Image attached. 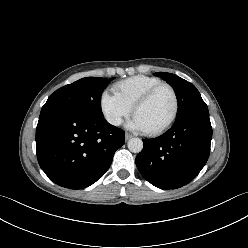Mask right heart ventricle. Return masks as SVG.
I'll return each instance as SVG.
<instances>
[{
  "label": "right heart ventricle",
  "mask_w": 248,
  "mask_h": 248,
  "mask_svg": "<svg viewBox=\"0 0 248 248\" xmlns=\"http://www.w3.org/2000/svg\"><path fill=\"white\" fill-rule=\"evenodd\" d=\"M162 83L160 79L145 75H137L113 85L112 89L129 107L133 108L135 102L149 89Z\"/></svg>",
  "instance_id": "e07e8e85"
}]
</instances>
